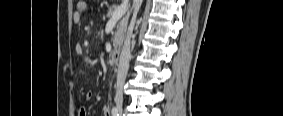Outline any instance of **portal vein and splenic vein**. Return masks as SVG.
I'll return each instance as SVG.
<instances>
[{
  "mask_svg": "<svg viewBox=\"0 0 283 116\" xmlns=\"http://www.w3.org/2000/svg\"><path fill=\"white\" fill-rule=\"evenodd\" d=\"M126 11H127V1H125L123 4H121L119 7L115 9L110 19L119 20L125 15Z\"/></svg>",
  "mask_w": 283,
  "mask_h": 116,
  "instance_id": "obj_1",
  "label": "portal vein and splenic vein"
}]
</instances>
